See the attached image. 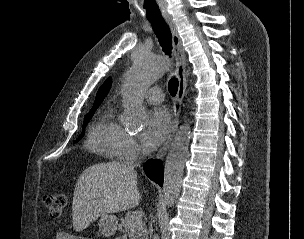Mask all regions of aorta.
I'll return each instance as SVG.
<instances>
[{
	"instance_id": "762f6f07",
	"label": "aorta",
	"mask_w": 304,
	"mask_h": 239,
	"mask_svg": "<svg viewBox=\"0 0 304 239\" xmlns=\"http://www.w3.org/2000/svg\"><path fill=\"white\" fill-rule=\"evenodd\" d=\"M168 71V61L149 55L137 57L124 84V120L133 126L142 124L147 111L140 93ZM191 138L190 126L182 125L171 143L164 167L163 192L165 205L172 207L178 199Z\"/></svg>"
}]
</instances>
